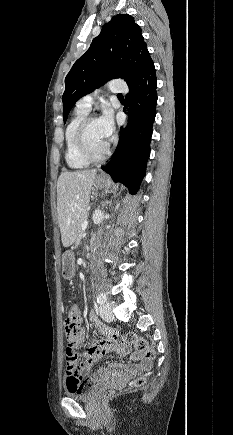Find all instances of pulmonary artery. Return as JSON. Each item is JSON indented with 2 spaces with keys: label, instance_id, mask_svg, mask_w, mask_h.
Segmentation results:
<instances>
[{
  "label": "pulmonary artery",
  "instance_id": "obj_1",
  "mask_svg": "<svg viewBox=\"0 0 233 435\" xmlns=\"http://www.w3.org/2000/svg\"><path fill=\"white\" fill-rule=\"evenodd\" d=\"M110 90L118 95H123L127 92V87L124 78H115L110 81ZM93 103V96L88 94L77 101V108L88 113Z\"/></svg>",
  "mask_w": 233,
  "mask_h": 435
}]
</instances>
